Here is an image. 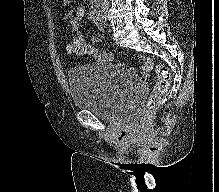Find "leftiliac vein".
I'll list each match as a JSON object with an SVG mask.
<instances>
[{
  "label": "left iliac vein",
  "mask_w": 219,
  "mask_h": 192,
  "mask_svg": "<svg viewBox=\"0 0 219 192\" xmlns=\"http://www.w3.org/2000/svg\"><path fill=\"white\" fill-rule=\"evenodd\" d=\"M106 21H107V15L105 14V15H104V17H103V22H102V23H103V25H105V24H106Z\"/></svg>",
  "instance_id": "obj_1"
}]
</instances>
